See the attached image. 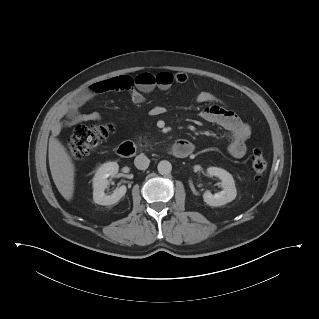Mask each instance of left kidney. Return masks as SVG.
<instances>
[{"label":"left kidney","mask_w":319,"mask_h":319,"mask_svg":"<svg viewBox=\"0 0 319 319\" xmlns=\"http://www.w3.org/2000/svg\"><path fill=\"white\" fill-rule=\"evenodd\" d=\"M209 176H216L221 180L222 191L214 195L206 191L203 195L204 201L210 206L225 205L236 198L237 192L232 175L226 170L218 167L207 168Z\"/></svg>","instance_id":"1"}]
</instances>
